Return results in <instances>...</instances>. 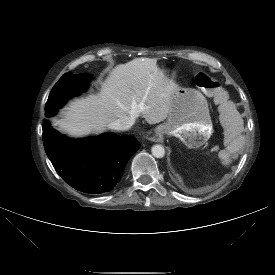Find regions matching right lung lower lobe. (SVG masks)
Listing matches in <instances>:
<instances>
[{
    "mask_svg": "<svg viewBox=\"0 0 275 275\" xmlns=\"http://www.w3.org/2000/svg\"><path fill=\"white\" fill-rule=\"evenodd\" d=\"M45 152L62 179L76 190L100 194L112 190L140 144L132 136L102 134L80 140L66 138L44 119Z\"/></svg>",
    "mask_w": 275,
    "mask_h": 275,
    "instance_id": "1",
    "label": "right lung lower lobe"
}]
</instances>
